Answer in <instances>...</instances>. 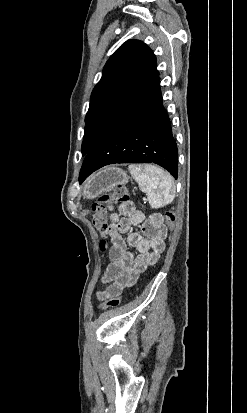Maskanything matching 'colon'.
Returning <instances> with one entry per match:
<instances>
[{
  "label": "colon",
  "instance_id": "colon-1",
  "mask_svg": "<svg viewBox=\"0 0 247 413\" xmlns=\"http://www.w3.org/2000/svg\"><path fill=\"white\" fill-rule=\"evenodd\" d=\"M107 202H115V203H122L124 207H131L133 205V200L128 198L127 192L123 189L122 186L118 187L112 193H104L100 195L97 200L94 202L92 206V221L95 226L99 229L100 236L104 237L105 233L102 232L104 229L107 228V220L105 216V210L102 207L104 203ZM165 223L169 231H171L174 227L175 216L172 211H167L165 214ZM102 245L106 244L105 240L101 241ZM103 250L104 247H102ZM121 298H107L103 303L96 306V309L99 311H107L109 309L117 308L120 304Z\"/></svg>",
  "mask_w": 247,
  "mask_h": 413
}]
</instances>
